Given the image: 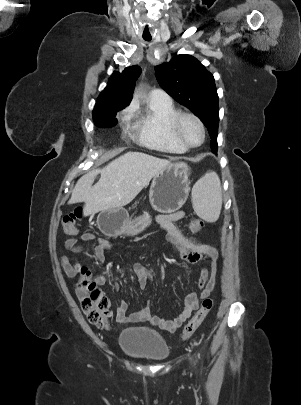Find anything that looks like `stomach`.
<instances>
[{"instance_id":"1","label":"stomach","mask_w":301,"mask_h":405,"mask_svg":"<svg viewBox=\"0 0 301 405\" xmlns=\"http://www.w3.org/2000/svg\"><path fill=\"white\" fill-rule=\"evenodd\" d=\"M191 169L185 161L169 162L151 183L149 200L154 210L161 213H173L186 202L190 191ZM98 224L112 235H137L151 222L150 216L144 213L133 220L123 209L103 211L98 216ZM108 226V228L105 227Z\"/></svg>"}]
</instances>
